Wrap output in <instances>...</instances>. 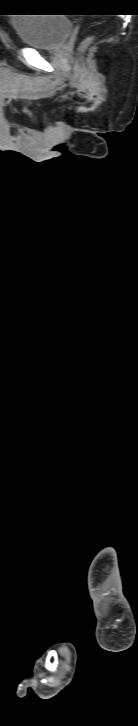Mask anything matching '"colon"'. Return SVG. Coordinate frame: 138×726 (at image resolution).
<instances>
[{
    "label": "colon",
    "mask_w": 138,
    "mask_h": 726,
    "mask_svg": "<svg viewBox=\"0 0 138 726\" xmlns=\"http://www.w3.org/2000/svg\"><path fill=\"white\" fill-rule=\"evenodd\" d=\"M90 40H91V38L84 40L83 43L81 44V48H84Z\"/></svg>",
    "instance_id": "1"
}]
</instances>
